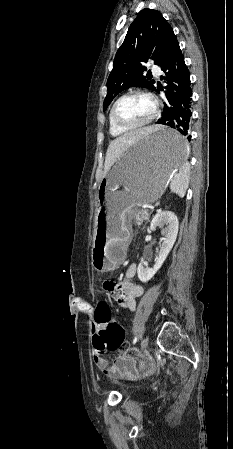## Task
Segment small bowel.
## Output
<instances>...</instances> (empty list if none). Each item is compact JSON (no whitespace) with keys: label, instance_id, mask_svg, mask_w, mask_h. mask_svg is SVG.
<instances>
[{"label":"small bowel","instance_id":"small-bowel-1","mask_svg":"<svg viewBox=\"0 0 233 449\" xmlns=\"http://www.w3.org/2000/svg\"><path fill=\"white\" fill-rule=\"evenodd\" d=\"M135 274L136 265L132 264L127 268L118 284L115 278H105L102 284V289L106 291L108 296H112L116 302L130 311H135L136 300L143 293L142 286L133 281ZM95 335L96 334H94V336ZM93 359L97 368L110 378L122 377L132 370L131 358L126 353H122L116 357L113 361V365L109 366V362L103 356V352L94 348Z\"/></svg>","mask_w":233,"mask_h":449}]
</instances>
